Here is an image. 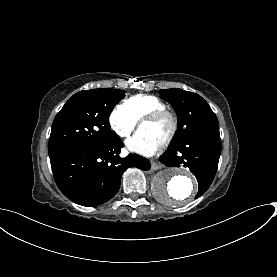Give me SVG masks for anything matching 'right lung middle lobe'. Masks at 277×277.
I'll return each instance as SVG.
<instances>
[{
  "instance_id": "dd1d6c3e",
  "label": "right lung middle lobe",
  "mask_w": 277,
  "mask_h": 277,
  "mask_svg": "<svg viewBox=\"0 0 277 277\" xmlns=\"http://www.w3.org/2000/svg\"><path fill=\"white\" fill-rule=\"evenodd\" d=\"M125 91L101 88L74 94L56 115L49 138V156L65 149L99 146L118 138L109 116Z\"/></svg>"
}]
</instances>
